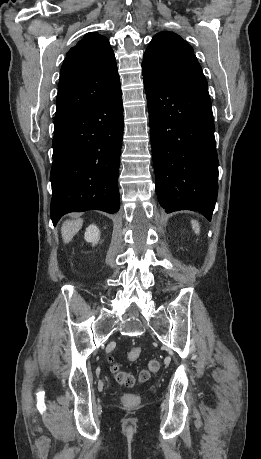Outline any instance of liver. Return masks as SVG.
I'll return each instance as SVG.
<instances>
[{"label": "liver", "instance_id": "1", "mask_svg": "<svg viewBox=\"0 0 261 459\" xmlns=\"http://www.w3.org/2000/svg\"><path fill=\"white\" fill-rule=\"evenodd\" d=\"M83 225V220L78 218L74 221H67L62 225L61 234L64 243H69L72 238L77 234Z\"/></svg>", "mask_w": 261, "mask_h": 459}]
</instances>
